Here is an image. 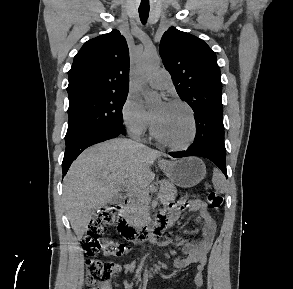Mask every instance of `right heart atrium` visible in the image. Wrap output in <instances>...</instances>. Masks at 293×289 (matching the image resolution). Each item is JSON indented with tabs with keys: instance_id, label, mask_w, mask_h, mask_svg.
<instances>
[{
	"instance_id": "obj_1",
	"label": "right heart atrium",
	"mask_w": 293,
	"mask_h": 289,
	"mask_svg": "<svg viewBox=\"0 0 293 289\" xmlns=\"http://www.w3.org/2000/svg\"><path fill=\"white\" fill-rule=\"evenodd\" d=\"M122 119L127 130L134 137L144 135L151 126V119L142 103L131 95L123 104Z\"/></svg>"
}]
</instances>
